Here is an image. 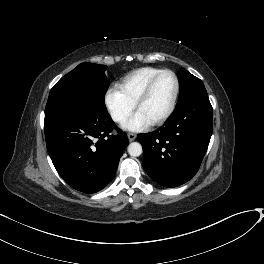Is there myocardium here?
<instances>
[{
    "label": "myocardium",
    "instance_id": "1",
    "mask_svg": "<svg viewBox=\"0 0 264 264\" xmlns=\"http://www.w3.org/2000/svg\"><path fill=\"white\" fill-rule=\"evenodd\" d=\"M163 74H170L174 78L175 90H174L172 100H171L167 110L158 119L154 120L153 122H150V125H153V126L163 124L172 115V113L175 109V106H176V103H177V100L179 97V92H180V82H179V79H178L176 73L169 70V69H164V70H161L156 75H154L149 80V82L147 83V85L145 86V88L143 89L142 93L140 94L139 98L137 99V101L135 103V109L138 110L139 106L148 99L155 83Z\"/></svg>",
    "mask_w": 264,
    "mask_h": 264
}]
</instances>
